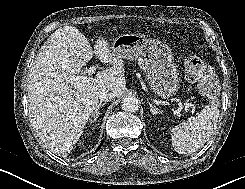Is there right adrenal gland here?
<instances>
[{"instance_id": "1", "label": "right adrenal gland", "mask_w": 245, "mask_h": 189, "mask_svg": "<svg viewBox=\"0 0 245 189\" xmlns=\"http://www.w3.org/2000/svg\"><path fill=\"white\" fill-rule=\"evenodd\" d=\"M106 104H107L106 102L99 103V105L97 106V108L92 113V117H91V120H90L91 122H94L98 118V116L100 114L101 107L105 106Z\"/></svg>"}]
</instances>
